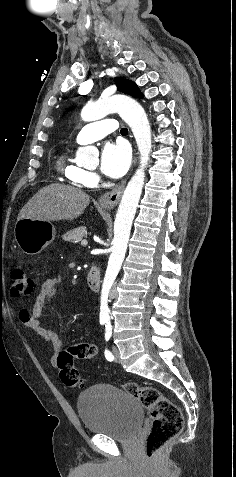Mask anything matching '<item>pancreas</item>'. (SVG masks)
<instances>
[{
  "instance_id": "1",
  "label": "pancreas",
  "mask_w": 236,
  "mask_h": 477,
  "mask_svg": "<svg viewBox=\"0 0 236 477\" xmlns=\"http://www.w3.org/2000/svg\"><path fill=\"white\" fill-rule=\"evenodd\" d=\"M88 235L86 227L81 226L78 228H75L73 230H70L66 234L63 235V240L70 242V243H78L80 242L84 237Z\"/></svg>"
}]
</instances>
